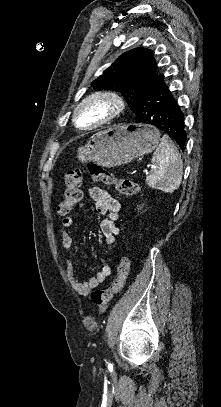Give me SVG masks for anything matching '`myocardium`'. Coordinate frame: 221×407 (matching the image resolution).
<instances>
[{"instance_id": "myocardium-1", "label": "myocardium", "mask_w": 221, "mask_h": 407, "mask_svg": "<svg viewBox=\"0 0 221 407\" xmlns=\"http://www.w3.org/2000/svg\"><path fill=\"white\" fill-rule=\"evenodd\" d=\"M93 103H101L105 106L104 114L90 124H82L79 120V113L82 109ZM124 98L113 90H99L82 98L74 107L72 112V123L78 129L91 130L106 124L116 118L124 109Z\"/></svg>"}]
</instances>
